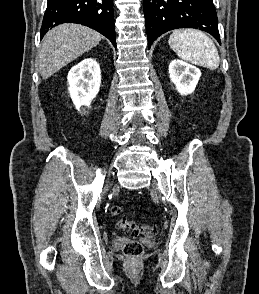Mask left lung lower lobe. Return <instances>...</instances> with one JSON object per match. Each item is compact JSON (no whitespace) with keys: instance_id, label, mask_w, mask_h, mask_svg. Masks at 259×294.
<instances>
[{"instance_id":"0a47b994","label":"left lung lower lobe","mask_w":259,"mask_h":294,"mask_svg":"<svg viewBox=\"0 0 259 294\" xmlns=\"http://www.w3.org/2000/svg\"><path fill=\"white\" fill-rule=\"evenodd\" d=\"M143 7L149 49L160 35L178 28L206 31L220 43L212 0H144Z\"/></svg>"}]
</instances>
